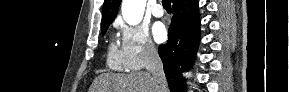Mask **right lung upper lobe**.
<instances>
[{
	"label": "right lung upper lobe",
	"mask_w": 289,
	"mask_h": 92,
	"mask_svg": "<svg viewBox=\"0 0 289 92\" xmlns=\"http://www.w3.org/2000/svg\"><path fill=\"white\" fill-rule=\"evenodd\" d=\"M189 0H173V4L176 3H185ZM121 0H105L103 4V13H102V21L101 28L107 25H110L115 19L118 7L120 5Z\"/></svg>",
	"instance_id": "cb5924a9"
}]
</instances>
